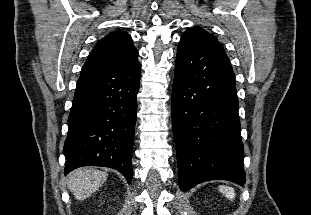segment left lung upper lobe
Masks as SVG:
<instances>
[{
    "label": "left lung upper lobe",
    "instance_id": "1",
    "mask_svg": "<svg viewBox=\"0 0 311 215\" xmlns=\"http://www.w3.org/2000/svg\"><path fill=\"white\" fill-rule=\"evenodd\" d=\"M183 36L187 37H194V38H202L204 40H207L213 44H215L217 47H219L221 50L225 51L222 44L217 40L216 37L206 32L204 29L199 27H192L184 32Z\"/></svg>",
    "mask_w": 311,
    "mask_h": 215
}]
</instances>
